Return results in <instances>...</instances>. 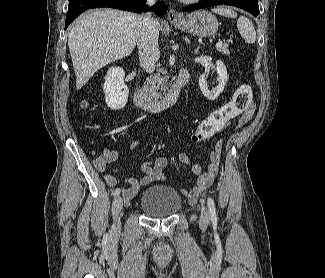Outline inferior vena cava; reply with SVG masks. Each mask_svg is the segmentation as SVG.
Wrapping results in <instances>:
<instances>
[{"label":"inferior vena cava","mask_w":325,"mask_h":278,"mask_svg":"<svg viewBox=\"0 0 325 278\" xmlns=\"http://www.w3.org/2000/svg\"><path fill=\"white\" fill-rule=\"evenodd\" d=\"M156 0H147L149 5H153ZM158 23L152 17L151 13L143 16L139 38L138 50L140 64L145 71L152 73L155 69V64L159 58L158 49Z\"/></svg>","instance_id":"obj_1"}]
</instances>
